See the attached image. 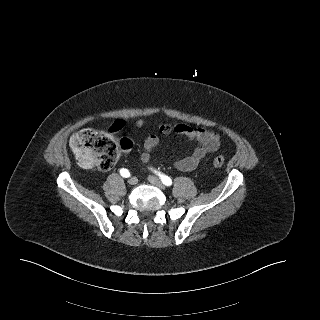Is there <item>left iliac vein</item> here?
Segmentation results:
<instances>
[{
  "instance_id": "obj_1",
  "label": "left iliac vein",
  "mask_w": 320,
  "mask_h": 320,
  "mask_svg": "<svg viewBox=\"0 0 320 320\" xmlns=\"http://www.w3.org/2000/svg\"><path fill=\"white\" fill-rule=\"evenodd\" d=\"M148 180L151 184L159 187L160 189L164 190L165 189V186L164 184L161 182V180L159 178H157L156 176H148Z\"/></svg>"
}]
</instances>
